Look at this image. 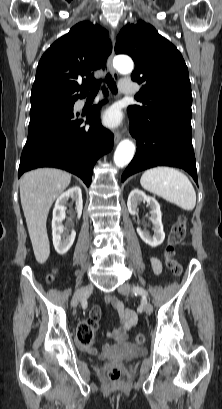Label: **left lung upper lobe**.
Masks as SVG:
<instances>
[{"mask_svg":"<svg viewBox=\"0 0 222 409\" xmlns=\"http://www.w3.org/2000/svg\"><path fill=\"white\" fill-rule=\"evenodd\" d=\"M115 52L128 54L135 62L131 78L143 84L142 106H129L128 113L148 117L167 111L191 119V84L187 66L177 48L144 21L128 24L117 37Z\"/></svg>","mask_w":222,"mask_h":409,"instance_id":"5c2ea615","label":"left lung upper lobe"}]
</instances>
